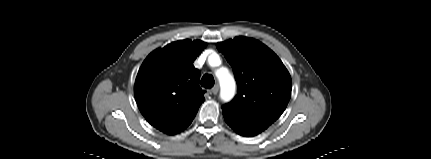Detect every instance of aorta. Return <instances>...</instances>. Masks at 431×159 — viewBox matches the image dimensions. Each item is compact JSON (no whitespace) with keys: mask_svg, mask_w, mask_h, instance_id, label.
<instances>
[{"mask_svg":"<svg viewBox=\"0 0 431 159\" xmlns=\"http://www.w3.org/2000/svg\"><path fill=\"white\" fill-rule=\"evenodd\" d=\"M221 87V98L224 101H229L235 92V82L232 76L225 70L222 73L217 74Z\"/></svg>","mask_w":431,"mask_h":159,"instance_id":"obj_1","label":"aorta"}]
</instances>
